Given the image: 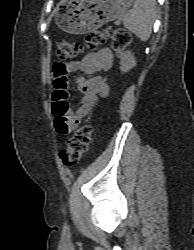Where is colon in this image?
I'll return each mask as SVG.
<instances>
[{
  "instance_id": "1",
  "label": "colon",
  "mask_w": 194,
  "mask_h": 250,
  "mask_svg": "<svg viewBox=\"0 0 194 250\" xmlns=\"http://www.w3.org/2000/svg\"><path fill=\"white\" fill-rule=\"evenodd\" d=\"M130 34L122 28L95 29L87 33L85 38V47L94 49L99 45L110 41L112 47L117 50H123L130 43ZM82 46L72 41H59L57 43L56 54L61 59L74 58L80 54ZM53 111L58 112L62 109L60 100L66 99L64 93H54ZM92 134V127L84 124L79 127L71 139L67 142L66 147L62 148L59 156L65 166L75 164L80 157L87 151Z\"/></svg>"
}]
</instances>
